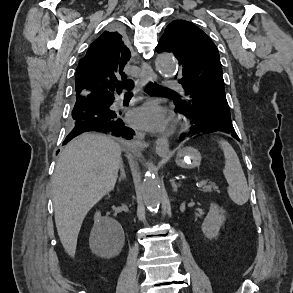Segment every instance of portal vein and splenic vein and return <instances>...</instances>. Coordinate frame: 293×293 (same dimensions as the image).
<instances>
[{
  "label": "portal vein and splenic vein",
  "mask_w": 293,
  "mask_h": 293,
  "mask_svg": "<svg viewBox=\"0 0 293 293\" xmlns=\"http://www.w3.org/2000/svg\"><path fill=\"white\" fill-rule=\"evenodd\" d=\"M205 183H206V182H205L204 180H202V181L199 183V185H200V186H203V185H205Z\"/></svg>",
  "instance_id": "18ae733b"
}]
</instances>
